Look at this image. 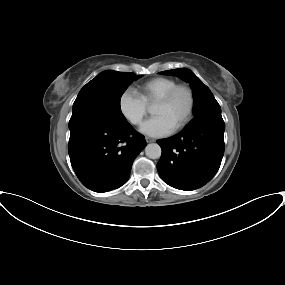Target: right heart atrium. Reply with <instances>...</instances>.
<instances>
[{
  "mask_svg": "<svg viewBox=\"0 0 285 285\" xmlns=\"http://www.w3.org/2000/svg\"><path fill=\"white\" fill-rule=\"evenodd\" d=\"M118 107L122 117L134 126L142 123L148 111L145 102L131 89L120 94Z\"/></svg>",
  "mask_w": 285,
  "mask_h": 285,
  "instance_id": "1",
  "label": "right heart atrium"
}]
</instances>
